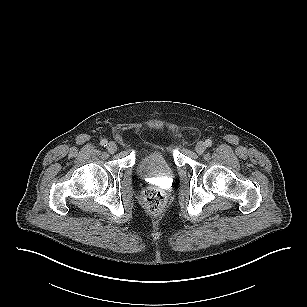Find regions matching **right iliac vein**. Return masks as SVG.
<instances>
[{
  "label": "right iliac vein",
  "mask_w": 307,
  "mask_h": 307,
  "mask_svg": "<svg viewBox=\"0 0 307 307\" xmlns=\"http://www.w3.org/2000/svg\"><path fill=\"white\" fill-rule=\"evenodd\" d=\"M117 150V146L114 142H109L108 145H107V151L109 153H115Z\"/></svg>",
  "instance_id": "obj_1"
}]
</instances>
